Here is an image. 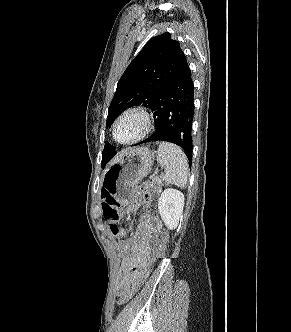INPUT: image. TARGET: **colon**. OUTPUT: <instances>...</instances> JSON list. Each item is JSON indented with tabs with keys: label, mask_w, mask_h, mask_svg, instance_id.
<instances>
[{
	"label": "colon",
	"mask_w": 291,
	"mask_h": 332,
	"mask_svg": "<svg viewBox=\"0 0 291 332\" xmlns=\"http://www.w3.org/2000/svg\"><path fill=\"white\" fill-rule=\"evenodd\" d=\"M140 192L143 202L145 204H149L152 201L153 196L159 192V188L152 182H146L140 186ZM101 205L103 217L105 218V220L108 221L112 234L120 237L125 236L126 230L122 228L119 224L121 213L117 207V202L114 196L110 192H102ZM161 239L162 245L158 248L153 257L150 258L147 264L140 269V271L135 276L133 282L122 292L119 298L120 304L128 302L135 295V293L140 289L141 285L146 279L152 264L155 262L156 259L162 257L163 249L167 241L166 232L162 233Z\"/></svg>",
	"instance_id": "colon-1"
}]
</instances>
